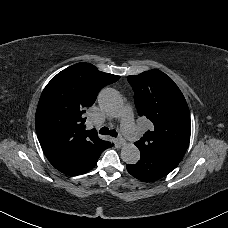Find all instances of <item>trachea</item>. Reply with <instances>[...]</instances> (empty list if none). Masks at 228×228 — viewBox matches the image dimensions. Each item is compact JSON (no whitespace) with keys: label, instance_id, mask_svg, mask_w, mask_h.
Here are the masks:
<instances>
[{"label":"trachea","instance_id":"trachea-1","mask_svg":"<svg viewBox=\"0 0 228 228\" xmlns=\"http://www.w3.org/2000/svg\"><path fill=\"white\" fill-rule=\"evenodd\" d=\"M99 133L102 134V135H110L112 137H117L118 136V133L116 130H109L107 127H102L100 130H99Z\"/></svg>","mask_w":228,"mask_h":228}]
</instances>
